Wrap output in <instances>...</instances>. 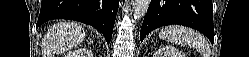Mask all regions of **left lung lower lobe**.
Wrapping results in <instances>:
<instances>
[{"label":"left lung lower lobe","instance_id":"0a47b994","mask_svg":"<svg viewBox=\"0 0 249 57\" xmlns=\"http://www.w3.org/2000/svg\"><path fill=\"white\" fill-rule=\"evenodd\" d=\"M170 24L196 29L213 44L212 0H151L140 31L141 42L150 31Z\"/></svg>","mask_w":249,"mask_h":57}]
</instances>
